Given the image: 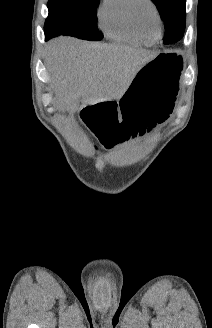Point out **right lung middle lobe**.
I'll return each mask as SVG.
<instances>
[{"mask_svg":"<svg viewBox=\"0 0 212 328\" xmlns=\"http://www.w3.org/2000/svg\"><path fill=\"white\" fill-rule=\"evenodd\" d=\"M100 0H49L45 34L49 38L69 35L98 41L103 34L97 28V5Z\"/></svg>","mask_w":212,"mask_h":328,"instance_id":"dd1d6c3e","label":"right lung middle lobe"}]
</instances>
